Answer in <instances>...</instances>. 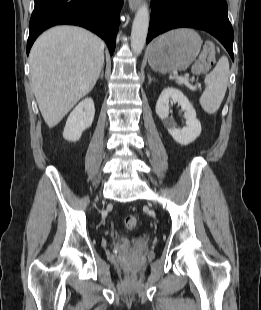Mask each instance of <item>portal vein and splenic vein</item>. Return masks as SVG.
I'll use <instances>...</instances> for the list:
<instances>
[{"instance_id":"obj_1","label":"portal vein and splenic vein","mask_w":261,"mask_h":310,"mask_svg":"<svg viewBox=\"0 0 261 310\" xmlns=\"http://www.w3.org/2000/svg\"><path fill=\"white\" fill-rule=\"evenodd\" d=\"M171 78H178V73L175 72V73L173 74V76H171ZM185 84L188 85L190 89H192V90H194V91L197 90L196 87H194V86H192V85H189L188 82H185Z\"/></svg>"}]
</instances>
